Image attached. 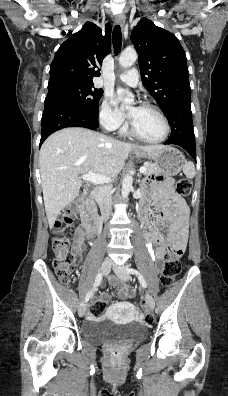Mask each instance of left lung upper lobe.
I'll return each instance as SVG.
<instances>
[{"instance_id":"5c2ea615","label":"left lung upper lobe","mask_w":228,"mask_h":396,"mask_svg":"<svg viewBox=\"0 0 228 396\" xmlns=\"http://www.w3.org/2000/svg\"><path fill=\"white\" fill-rule=\"evenodd\" d=\"M131 41L138 52L142 83L163 113L178 118V104L191 100L185 52L176 36L147 18L134 27Z\"/></svg>"}]
</instances>
